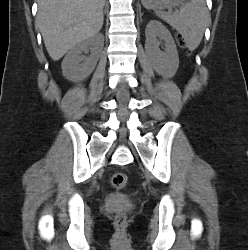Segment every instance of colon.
<instances>
[{
  "instance_id": "5ec220e1",
  "label": "colon",
  "mask_w": 248,
  "mask_h": 250,
  "mask_svg": "<svg viewBox=\"0 0 248 250\" xmlns=\"http://www.w3.org/2000/svg\"><path fill=\"white\" fill-rule=\"evenodd\" d=\"M178 43L181 46H184V41L183 39L178 36L177 37ZM111 184L114 188L116 189H122L126 186L127 184V176L126 174L122 173V172H116L111 176ZM116 223L118 225H122L125 222V216L123 214H119L116 216Z\"/></svg>"
}]
</instances>
